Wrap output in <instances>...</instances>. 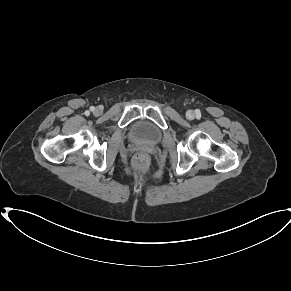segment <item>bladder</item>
I'll return each mask as SVG.
<instances>
[{"label":"bladder","instance_id":"1","mask_svg":"<svg viewBox=\"0 0 291 291\" xmlns=\"http://www.w3.org/2000/svg\"><path fill=\"white\" fill-rule=\"evenodd\" d=\"M130 136L139 142L155 144L161 139L162 132L153 123L146 120H138L132 125Z\"/></svg>","mask_w":291,"mask_h":291}]
</instances>
